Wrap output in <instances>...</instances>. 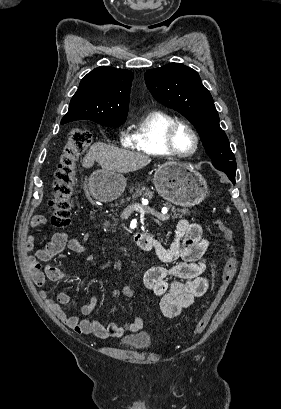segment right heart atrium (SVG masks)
I'll use <instances>...</instances> for the list:
<instances>
[{
  "label": "right heart atrium",
  "mask_w": 281,
  "mask_h": 409,
  "mask_svg": "<svg viewBox=\"0 0 281 409\" xmlns=\"http://www.w3.org/2000/svg\"><path fill=\"white\" fill-rule=\"evenodd\" d=\"M119 137L122 141H126L127 140V136L123 131L119 132Z\"/></svg>",
  "instance_id": "d8ad5b80"
}]
</instances>
